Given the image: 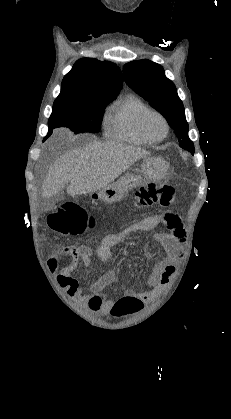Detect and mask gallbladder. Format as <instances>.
Here are the masks:
<instances>
[{
	"label": "gallbladder",
	"mask_w": 231,
	"mask_h": 419,
	"mask_svg": "<svg viewBox=\"0 0 231 419\" xmlns=\"http://www.w3.org/2000/svg\"><path fill=\"white\" fill-rule=\"evenodd\" d=\"M63 198V195L61 194V193H59V194H57V195H55L54 197H53V200L54 201H56V200H61Z\"/></svg>",
	"instance_id": "obj_1"
}]
</instances>
